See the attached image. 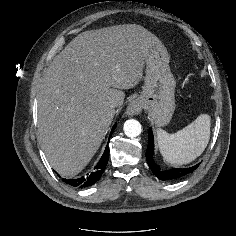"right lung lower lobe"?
<instances>
[{
	"instance_id": "1",
	"label": "right lung lower lobe",
	"mask_w": 236,
	"mask_h": 236,
	"mask_svg": "<svg viewBox=\"0 0 236 236\" xmlns=\"http://www.w3.org/2000/svg\"><path fill=\"white\" fill-rule=\"evenodd\" d=\"M116 124L113 126L110 136L113 133ZM109 158V146L107 145L105 151L99 161V163L94 167V171L86 176H82L78 179H62L65 183L70 184L74 187L84 188L93 185L95 182L99 180L103 171L106 168L107 162ZM59 176V175H58ZM60 177V176H59Z\"/></svg>"
}]
</instances>
